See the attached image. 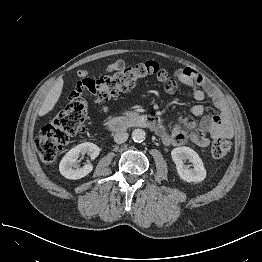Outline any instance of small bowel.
<instances>
[{"label":"small bowel","instance_id":"small-bowel-1","mask_svg":"<svg viewBox=\"0 0 262 262\" xmlns=\"http://www.w3.org/2000/svg\"><path fill=\"white\" fill-rule=\"evenodd\" d=\"M160 79L163 81L167 94L176 92L177 81H179L191 88L196 100L209 99L218 110L213 115H206L202 105H194L190 108L189 113L200 118L198 125L188 118H182L171 129L160 124L156 125L154 131L164 144L177 146L191 140L199 146L206 147L211 139L233 137L226 99L196 70L185 67L174 72V79L168 77L167 73L164 78Z\"/></svg>","mask_w":262,"mask_h":262}]
</instances>
